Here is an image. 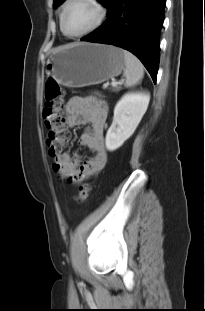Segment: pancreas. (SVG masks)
Returning a JSON list of instances; mask_svg holds the SVG:
<instances>
[{"mask_svg":"<svg viewBox=\"0 0 205 311\" xmlns=\"http://www.w3.org/2000/svg\"><path fill=\"white\" fill-rule=\"evenodd\" d=\"M114 87V91H118L120 89V87H117V86H113Z\"/></svg>","mask_w":205,"mask_h":311,"instance_id":"1","label":"pancreas"}]
</instances>
